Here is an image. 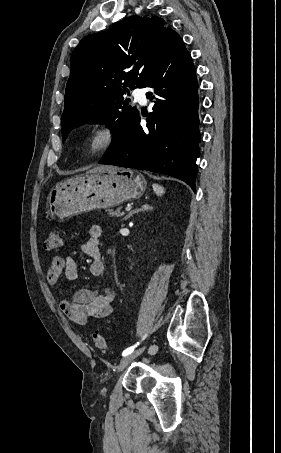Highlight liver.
Segmentation results:
<instances>
[{"instance_id": "obj_1", "label": "liver", "mask_w": 281, "mask_h": 453, "mask_svg": "<svg viewBox=\"0 0 281 453\" xmlns=\"http://www.w3.org/2000/svg\"><path fill=\"white\" fill-rule=\"evenodd\" d=\"M105 168H110V164H102V166H95V168L87 170L86 174H90V172H100V170H105Z\"/></svg>"}]
</instances>
